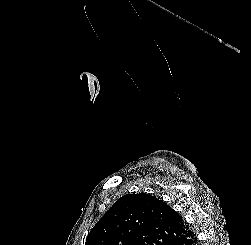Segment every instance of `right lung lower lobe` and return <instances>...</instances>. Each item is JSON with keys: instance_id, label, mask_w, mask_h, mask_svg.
Instances as JSON below:
<instances>
[{"instance_id": "1", "label": "right lung lower lobe", "mask_w": 251, "mask_h": 245, "mask_svg": "<svg viewBox=\"0 0 251 245\" xmlns=\"http://www.w3.org/2000/svg\"><path fill=\"white\" fill-rule=\"evenodd\" d=\"M168 245H197V238L194 232L188 229L184 235L170 242Z\"/></svg>"}]
</instances>
